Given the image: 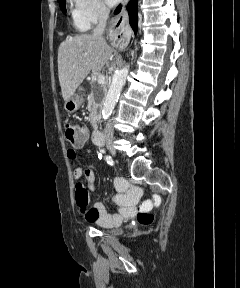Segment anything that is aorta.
<instances>
[{
	"instance_id": "aorta-1",
	"label": "aorta",
	"mask_w": 240,
	"mask_h": 288,
	"mask_svg": "<svg viewBox=\"0 0 240 288\" xmlns=\"http://www.w3.org/2000/svg\"><path fill=\"white\" fill-rule=\"evenodd\" d=\"M127 75V66L123 67L120 70H117L113 75L112 83L103 104L102 117L104 120H107L111 116L113 109L118 101L121 89L126 82Z\"/></svg>"
}]
</instances>
